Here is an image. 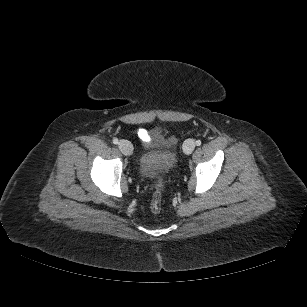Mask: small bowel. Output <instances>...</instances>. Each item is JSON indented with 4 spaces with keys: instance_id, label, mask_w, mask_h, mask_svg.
<instances>
[{
    "instance_id": "obj_1",
    "label": "small bowel",
    "mask_w": 307,
    "mask_h": 307,
    "mask_svg": "<svg viewBox=\"0 0 307 307\" xmlns=\"http://www.w3.org/2000/svg\"><path fill=\"white\" fill-rule=\"evenodd\" d=\"M137 134L139 136V138L141 139V141L146 144L149 145L152 142V137L149 131H147L146 129L140 128L137 131Z\"/></svg>"
}]
</instances>
